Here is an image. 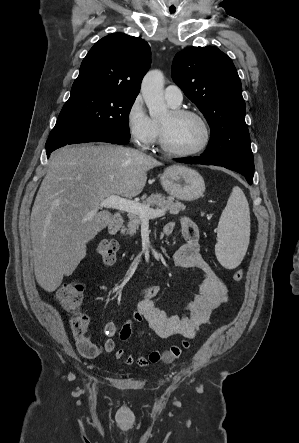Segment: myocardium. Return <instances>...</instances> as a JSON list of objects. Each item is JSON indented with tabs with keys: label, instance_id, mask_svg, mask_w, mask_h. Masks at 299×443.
I'll return each instance as SVG.
<instances>
[{
	"label": "myocardium",
	"instance_id": "obj_1",
	"mask_svg": "<svg viewBox=\"0 0 299 443\" xmlns=\"http://www.w3.org/2000/svg\"><path fill=\"white\" fill-rule=\"evenodd\" d=\"M171 113L176 117L192 116V117H195L196 119H198L203 126L204 138H203L201 144L193 150H189V151L173 150V149L169 148L168 145L166 144L165 131H164L163 126L159 123V133H158L159 149L164 154L171 156V157H176V158L194 157V156H197V155L201 154L202 152H204L207 149V147L209 146L210 141H211V128H210L209 122L206 119V117L202 113H200L196 110L185 109V108L173 109L171 111Z\"/></svg>",
	"mask_w": 299,
	"mask_h": 443
}]
</instances>
